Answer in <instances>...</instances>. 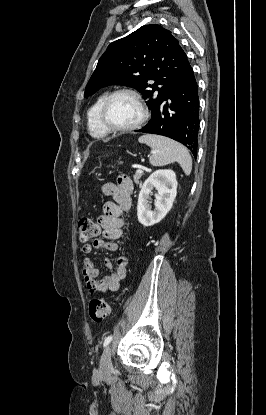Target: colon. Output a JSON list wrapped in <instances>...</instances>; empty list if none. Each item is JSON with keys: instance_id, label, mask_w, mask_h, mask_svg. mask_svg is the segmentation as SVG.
I'll use <instances>...</instances> for the list:
<instances>
[{"instance_id": "obj_1", "label": "colon", "mask_w": 266, "mask_h": 415, "mask_svg": "<svg viewBox=\"0 0 266 415\" xmlns=\"http://www.w3.org/2000/svg\"><path fill=\"white\" fill-rule=\"evenodd\" d=\"M100 232L99 225L92 219L82 218L79 221V240L82 243H87L95 238ZM110 312V307L107 300L103 297H97L89 303V316L95 322L104 321Z\"/></svg>"}]
</instances>
